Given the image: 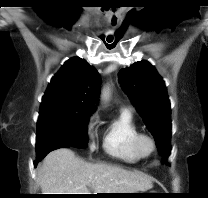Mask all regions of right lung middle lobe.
Here are the masks:
<instances>
[{
	"label": "right lung middle lobe",
	"instance_id": "dd1d6c3e",
	"mask_svg": "<svg viewBox=\"0 0 208 198\" xmlns=\"http://www.w3.org/2000/svg\"><path fill=\"white\" fill-rule=\"evenodd\" d=\"M92 113L72 109H49L37 121V158H44L54 147L68 145L85 148L87 124Z\"/></svg>",
	"mask_w": 208,
	"mask_h": 198
}]
</instances>
